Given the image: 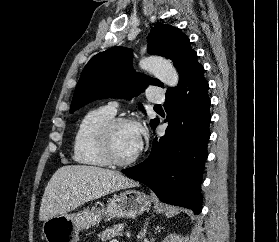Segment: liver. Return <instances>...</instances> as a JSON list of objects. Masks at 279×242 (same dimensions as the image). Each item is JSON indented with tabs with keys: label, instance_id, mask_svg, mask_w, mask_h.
<instances>
[{
	"label": "liver",
	"instance_id": "6515ba94",
	"mask_svg": "<svg viewBox=\"0 0 279 242\" xmlns=\"http://www.w3.org/2000/svg\"><path fill=\"white\" fill-rule=\"evenodd\" d=\"M138 184L119 172L86 165H66L49 180L41 201L40 221L66 214L111 192Z\"/></svg>",
	"mask_w": 279,
	"mask_h": 242
}]
</instances>
